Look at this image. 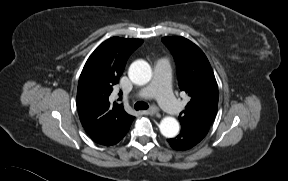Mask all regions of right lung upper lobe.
<instances>
[{"label": "right lung upper lobe", "mask_w": 288, "mask_h": 181, "mask_svg": "<svg viewBox=\"0 0 288 181\" xmlns=\"http://www.w3.org/2000/svg\"><path fill=\"white\" fill-rule=\"evenodd\" d=\"M142 42L140 39L112 37L91 54L82 70L76 104L84 129L98 144L118 143L134 119L125 112L122 104L112 103L110 95L128 57Z\"/></svg>", "instance_id": "obj_1"}]
</instances>
